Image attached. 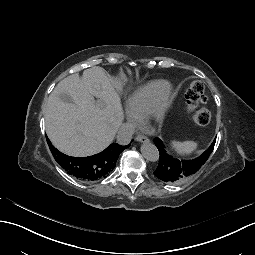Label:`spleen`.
Listing matches in <instances>:
<instances>
[{
	"instance_id": "1",
	"label": "spleen",
	"mask_w": 255,
	"mask_h": 255,
	"mask_svg": "<svg viewBox=\"0 0 255 255\" xmlns=\"http://www.w3.org/2000/svg\"><path fill=\"white\" fill-rule=\"evenodd\" d=\"M174 145L180 152H191L196 147L193 141H184L182 143H175Z\"/></svg>"
}]
</instances>
